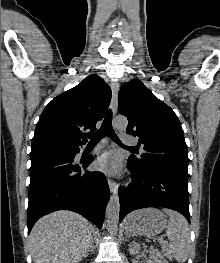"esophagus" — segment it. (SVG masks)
<instances>
[{
  "instance_id": "1",
  "label": "esophagus",
  "mask_w": 220,
  "mask_h": 263,
  "mask_svg": "<svg viewBox=\"0 0 220 263\" xmlns=\"http://www.w3.org/2000/svg\"><path fill=\"white\" fill-rule=\"evenodd\" d=\"M112 89V101H111V107L113 114L115 115L117 112V104H118V91H119V84L117 82L112 83L111 85ZM108 185L111 193H117L118 191V184L113 181L112 179H108Z\"/></svg>"
}]
</instances>
